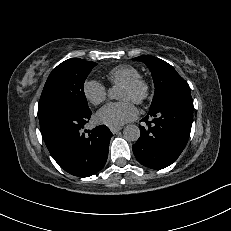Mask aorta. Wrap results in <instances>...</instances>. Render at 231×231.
Here are the masks:
<instances>
[{"label":"aorta","instance_id":"aorta-1","mask_svg":"<svg viewBox=\"0 0 231 231\" xmlns=\"http://www.w3.org/2000/svg\"><path fill=\"white\" fill-rule=\"evenodd\" d=\"M108 96L111 99L117 98V91L115 88H110L108 91ZM124 138L128 141H137L140 137V129L138 126L129 124L123 130Z\"/></svg>","mask_w":231,"mask_h":231}]
</instances>
